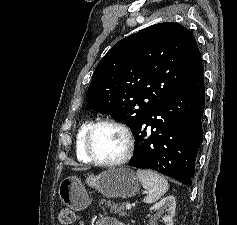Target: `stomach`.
Here are the masks:
<instances>
[{
    "mask_svg": "<svg viewBox=\"0 0 237 225\" xmlns=\"http://www.w3.org/2000/svg\"><path fill=\"white\" fill-rule=\"evenodd\" d=\"M86 184L108 198H130L140 190L138 177L129 168H109L98 175H89ZM61 202L74 211L89 205L87 190L81 180L70 176L64 178L58 188Z\"/></svg>",
    "mask_w": 237,
    "mask_h": 225,
    "instance_id": "obj_1",
    "label": "stomach"
}]
</instances>
